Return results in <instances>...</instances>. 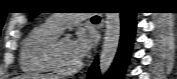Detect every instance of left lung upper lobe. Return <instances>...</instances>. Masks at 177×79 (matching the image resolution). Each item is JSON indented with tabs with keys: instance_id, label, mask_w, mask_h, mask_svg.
Returning a JSON list of instances; mask_svg holds the SVG:
<instances>
[{
	"instance_id": "5c2ea615",
	"label": "left lung upper lobe",
	"mask_w": 177,
	"mask_h": 79,
	"mask_svg": "<svg viewBox=\"0 0 177 79\" xmlns=\"http://www.w3.org/2000/svg\"><path fill=\"white\" fill-rule=\"evenodd\" d=\"M37 14H38V13H36V12H32V13H31L30 20H32Z\"/></svg>"
}]
</instances>
